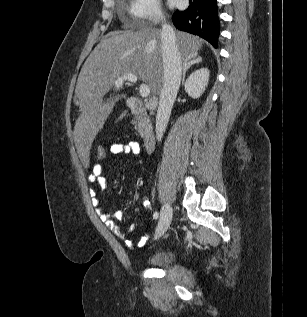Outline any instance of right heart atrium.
I'll return each instance as SVG.
<instances>
[{
    "label": "right heart atrium",
    "mask_w": 307,
    "mask_h": 317,
    "mask_svg": "<svg viewBox=\"0 0 307 317\" xmlns=\"http://www.w3.org/2000/svg\"><path fill=\"white\" fill-rule=\"evenodd\" d=\"M128 13L137 22L157 23L162 19L159 0H131Z\"/></svg>",
    "instance_id": "1"
}]
</instances>
